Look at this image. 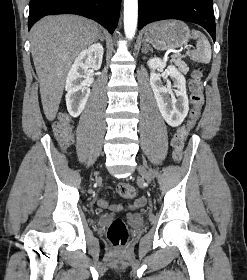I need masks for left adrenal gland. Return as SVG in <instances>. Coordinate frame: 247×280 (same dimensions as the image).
<instances>
[{"label": "left adrenal gland", "mask_w": 247, "mask_h": 280, "mask_svg": "<svg viewBox=\"0 0 247 280\" xmlns=\"http://www.w3.org/2000/svg\"><path fill=\"white\" fill-rule=\"evenodd\" d=\"M148 50L152 51V48L150 47L149 44H147L145 41L143 42V48H142V52L146 53Z\"/></svg>", "instance_id": "a2214340"}]
</instances>
